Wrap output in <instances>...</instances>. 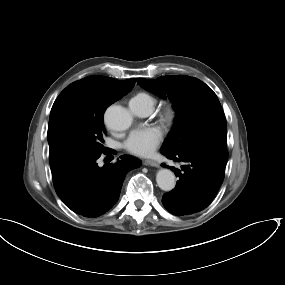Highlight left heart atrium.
<instances>
[{"label": "left heart atrium", "mask_w": 285, "mask_h": 285, "mask_svg": "<svg viewBox=\"0 0 285 285\" xmlns=\"http://www.w3.org/2000/svg\"><path fill=\"white\" fill-rule=\"evenodd\" d=\"M163 140V131L158 126L136 128L124 142V148L139 157L150 156Z\"/></svg>", "instance_id": "obj_1"}]
</instances>
